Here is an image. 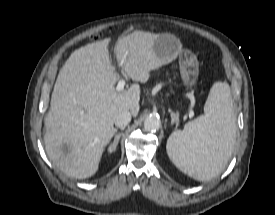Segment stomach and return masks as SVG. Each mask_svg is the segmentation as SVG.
Here are the masks:
<instances>
[{"instance_id":"0dacf381","label":"stomach","mask_w":275,"mask_h":215,"mask_svg":"<svg viewBox=\"0 0 275 215\" xmlns=\"http://www.w3.org/2000/svg\"><path fill=\"white\" fill-rule=\"evenodd\" d=\"M153 49L161 59L173 60L179 57L180 74L185 87L191 89L195 86L199 75V62L196 55L182 50L178 38L171 34H159Z\"/></svg>"}]
</instances>
